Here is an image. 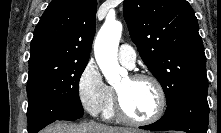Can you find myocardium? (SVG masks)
<instances>
[{
    "label": "myocardium",
    "instance_id": "obj_1",
    "mask_svg": "<svg viewBox=\"0 0 221 133\" xmlns=\"http://www.w3.org/2000/svg\"><path fill=\"white\" fill-rule=\"evenodd\" d=\"M129 78L133 81H138V80L150 81L154 85L157 91L158 107L155 113L147 119L133 118L125 112L121 95L118 92V90L115 89V112H116L117 117L120 120L124 121L125 123L135 125V126H146V125L155 123L162 117L167 106V99H166V94H165L163 85L155 76L151 74H147V73H134V74L129 75Z\"/></svg>",
    "mask_w": 221,
    "mask_h": 133
}]
</instances>
